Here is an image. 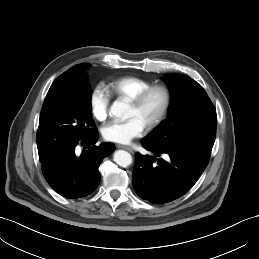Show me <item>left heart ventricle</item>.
Returning <instances> with one entry per match:
<instances>
[{"label": "left heart ventricle", "instance_id": "obj_1", "mask_svg": "<svg viewBox=\"0 0 259 259\" xmlns=\"http://www.w3.org/2000/svg\"><path fill=\"white\" fill-rule=\"evenodd\" d=\"M163 97L160 92H153L140 107L129 105L127 117H136L147 125L159 112Z\"/></svg>", "mask_w": 259, "mask_h": 259}]
</instances>
